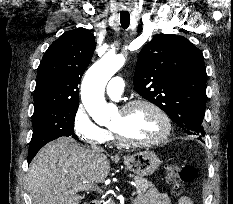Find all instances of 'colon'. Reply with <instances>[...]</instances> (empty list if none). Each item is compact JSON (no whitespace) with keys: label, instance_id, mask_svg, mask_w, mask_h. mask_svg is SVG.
I'll return each instance as SVG.
<instances>
[{"label":"colon","instance_id":"1","mask_svg":"<svg viewBox=\"0 0 233 204\" xmlns=\"http://www.w3.org/2000/svg\"><path fill=\"white\" fill-rule=\"evenodd\" d=\"M196 177L197 169L192 165H169L166 168V179L174 195L180 194L184 185L193 182Z\"/></svg>","mask_w":233,"mask_h":204}]
</instances>
